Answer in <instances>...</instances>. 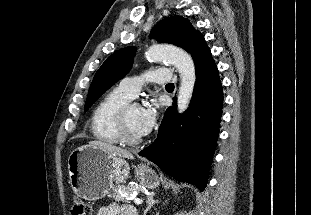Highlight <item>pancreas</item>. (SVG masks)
Segmentation results:
<instances>
[{
	"label": "pancreas",
	"instance_id": "cf45deb5",
	"mask_svg": "<svg viewBox=\"0 0 311 215\" xmlns=\"http://www.w3.org/2000/svg\"><path fill=\"white\" fill-rule=\"evenodd\" d=\"M140 193L139 187L134 186H118L113 189L111 196L117 202H129V197L134 193Z\"/></svg>",
	"mask_w": 311,
	"mask_h": 215
}]
</instances>
